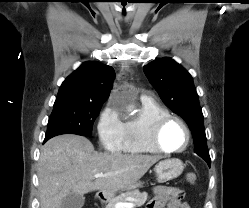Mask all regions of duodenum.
<instances>
[{
	"instance_id": "1",
	"label": "duodenum",
	"mask_w": 249,
	"mask_h": 208,
	"mask_svg": "<svg viewBox=\"0 0 249 208\" xmlns=\"http://www.w3.org/2000/svg\"><path fill=\"white\" fill-rule=\"evenodd\" d=\"M107 195L105 192H99L96 196V199L99 201H104L106 199Z\"/></svg>"
}]
</instances>
